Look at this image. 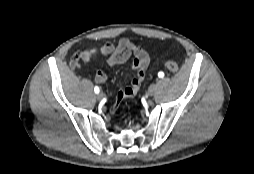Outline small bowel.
Here are the masks:
<instances>
[{
	"label": "small bowel",
	"instance_id": "obj_1",
	"mask_svg": "<svg viewBox=\"0 0 254 174\" xmlns=\"http://www.w3.org/2000/svg\"><path fill=\"white\" fill-rule=\"evenodd\" d=\"M82 53L84 61H89L92 57L98 55L107 56V63L110 66L124 64L129 61L131 69L136 72L130 84L118 91L116 101L111 107L112 112L117 109L121 100L134 97L138 93L149 64V55L143 48L134 45L129 39L123 38L118 43L107 42L98 47L88 48ZM106 79L107 76L103 70L96 71V82L102 84Z\"/></svg>",
	"mask_w": 254,
	"mask_h": 174
}]
</instances>
